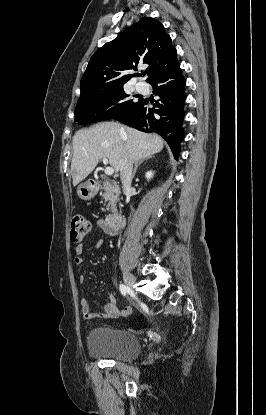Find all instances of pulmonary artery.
<instances>
[{"label":"pulmonary artery","mask_w":266,"mask_h":415,"mask_svg":"<svg viewBox=\"0 0 266 415\" xmlns=\"http://www.w3.org/2000/svg\"><path fill=\"white\" fill-rule=\"evenodd\" d=\"M136 88H137V90H138V91H140V92H144V91H146V90H147V86H146L144 83H142V82H138V83L136 84Z\"/></svg>","instance_id":"1"}]
</instances>
